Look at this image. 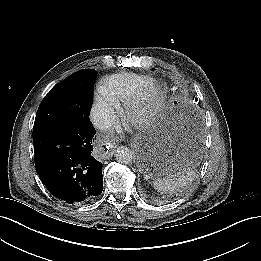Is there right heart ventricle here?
<instances>
[{
    "label": "right heart ventricle",
    "mask_w": 261,
    "mask_h": 261,
    "mask_svg": "<svg viewBox=\"0 0 261 261\" xmlns=\"http://www.w3.org/2000/svg\"><path fill=\"white\" fill-rule=\"evenodd\" d=\"M133 79L128 75H116L109 78L103 85L115 103L122 101L130 91Z\"/></svg>",
    "instance_id": "1"
}]
</instances>
